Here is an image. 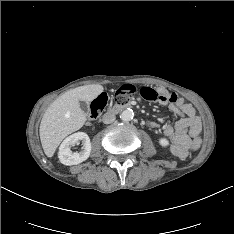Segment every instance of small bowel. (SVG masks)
<instances>
[{
  "instance_id": "small-bowel-1",
  "label": "small bowel",
  "mask_w": 234,
  "mask_h": 234,
  "mask_svg": "<svg viewBox=\"0 0 234 234\" xmlns=\"http://www.w3.org/2000/svg\"><path fill=\"white\" fill-rule=\"evenodd\" d=\"M157 93L159 96L155 101L160 105L168 106L179 117L175 123L165 125L163 132L170 142L172 153L183 158L192 149V143L198 138L201 121L196 115L194 107L175 92L160 89ZM148 125L152 129H159L162 126L160 122L154 120L149 121Z\"/></svg>"
}]
</instances>
